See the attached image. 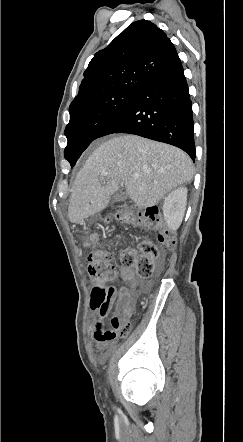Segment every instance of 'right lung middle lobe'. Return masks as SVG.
Instances as JSON below:
<instances>
[{
    "mask_svg": "<svg viewBox=\"0 0 243 442\" xmlns=\"http://www.w3.org/2000/svg\"><path fill=\"white\" fill-rule=\"evenodd\" d=\"M135 90H121L96 98L91 103L74 108L65 129L68 144L65 159L73 167L89 144L97 139L100 130L130 99Z\"/></svg>",
    "mask_w": 243,
    "mask_h": 442,
    "instance_id": "1",
    "label": "right lung middle lobe"
}]
</instances>
